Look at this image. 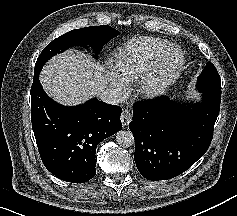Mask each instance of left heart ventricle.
Listing matches in <instances>:
<instances>
[{
	"instance_id": "1",
	"label": "left heart ventricle",
	"mask_w": 237,
	"mask_h": 216,
	"mask_svg": "<svg viewBox=\"0 0 237 216\" xmlns=\"http://www.w3.org/2000/svg\"><path fill=\"white\" fill-rule=\"evenodd\" d=\"M178 62H179V57H178L177 51L174 49H171L166 53L159 67V70L165 71L166 77L171 76L176 72Z\"/></svg>"
}]
</instances>
